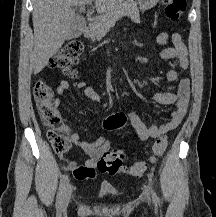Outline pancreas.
<instances>
[{
  "mask_svg": "<svg viewBox=\"0 0 216 217\" xmlns=\"http://www.w3.org/2000/svg\"><path fill=\"white\" fill-rule=\"evenodd\" d=\"M123 16L130 17L134 22H140L139 9L133 0H126L117 5L113 10L98 17L90 27L87 37L92 40H101L116 21Z\"/></svg>",
  "mask_w": 216,
  "mask_h": 217,
  "instance_id": "obj_1",
  "label": "pancreas"
}]
</instances>
